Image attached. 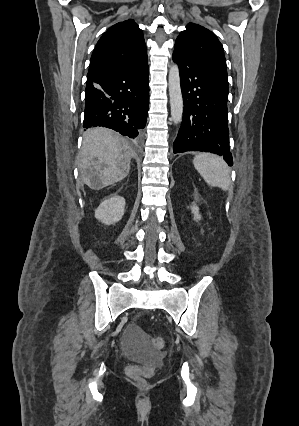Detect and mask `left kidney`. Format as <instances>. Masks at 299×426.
<instances>
[{
    "label": "left kidney",
    "mask_w": 299,
    "mask_h": 426,
    "mask_svg": "<svg viewBox=\"0 0 299 426\" xmlns=\"http://www.w3.org/2000/svg\"><path fill=\"white\" fill-rule=\"evenodd\" d=\"M192 213L194 214V220L198 221L201 219V215L199 214V208L196 205L192 206Z\"/></svg>",
    "instance_id": "1"
}]
</instances>
